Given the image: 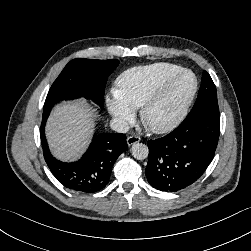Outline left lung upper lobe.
<instances>
[{
  "label": "left lung upper lobe",
  "mask_w": 251,
  "mask_h": 251,
  "mask_svg": "<svg viewBox=\"0 0 251 251\" xmlns=\"http://www.w3.org/2000/svg\"><path fill=\"white\" fill-rule=\"evenodd\" d=\"M189 114H209L213 116H220L216 87L210 75L206 71L203 72L198 97Z\"/></svg>",
  "instance_id": "left-lung-upper-lobe-1"
}]
</instances>
